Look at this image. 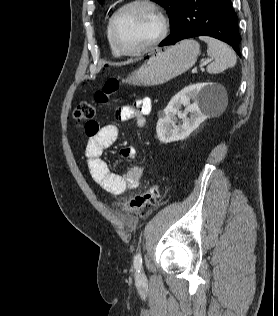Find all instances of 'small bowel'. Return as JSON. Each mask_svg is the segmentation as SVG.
<instances>
[{
    "instance_id": "obj_1",
    "label": "small bowel",
    "mask_w": 278,
    "mask_h": 316,
    "mask_svg": "<svg viewBox=\"0 0 278 316\" xmlns=\"http://www.w3.org/2000/svg\"><path fill=\"white\" fill-rule=\"evenodd\" d=\"M151 112V100L141 98L134 105H122L116 109V118L119 121L135 119L139 128L146 125V118ZM119 136V129L113 124L105 125L89 136L85 148V158L88 170L93 180L106 192L112 195H121L127 190L136 189L141 180L143 168L134 165L124 175L113 173L106 161L102 158L103 152L112 146ZM120 155L129 160L135 158L133 147H124Z\"/></svg>"
}]
</instances>
